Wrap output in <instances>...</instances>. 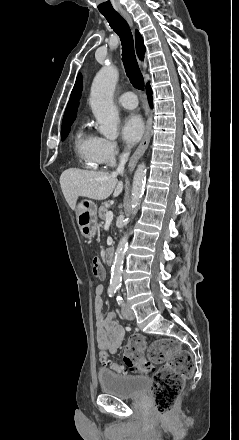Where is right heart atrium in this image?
<instances>
[{"label": "right heart atrium", "mask_w": 239, "mask_h": 440, "mask_svg": "<svg viewBox=\"0 0 239 440\" xmlns=\"http://www.w3.org/2000/svg\"><path fill=\"white\" fill-rule=\"evenodd\" d=\"M95 151L105 166L113 165L119 155L117 143L103 137H95Z\"/></svg>", "instance_id": "obj_1"}]
</instances>
